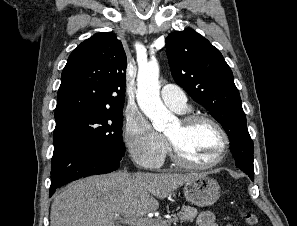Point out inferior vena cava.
Instances as JSON below:
<instances>
[{
  "label": "inferior vena cava",
  "mask_w": 297,
  "mask_h": 226,
  "mask_svg": "<svg viewBox=\"0 0 297 226\" xmlns=\"http://www.w3.org/2000/svg\"><path fill=\"white\" fill-rule=\"evenodd\" d=\"M140 174H142V173H141V172H138V173H137V175H140Z\"/></svg>",
  "instance_id": "inferior-vena-cava-1"
}]
</instances>
